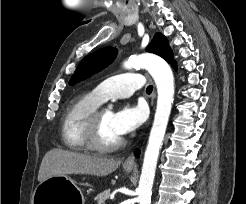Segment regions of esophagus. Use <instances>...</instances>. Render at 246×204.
<instances>
[{
    "mask_svg": "<svg viewBox=\"0 0 246 204\" xmlns=\"http://www.w3.org/2000/svg\"><path fill=\"white\" fill-rule=\"evenodd\" d=\"M124 167L127 168H133L136 166V162H135V156L134 154H130L127 159L124 161Z\"/></svg>",
    "mask_w": 246,
    "mask_h": 204,
    "instance_id": "obj_1",
    "label": "esophagus"
}]
</instances>
